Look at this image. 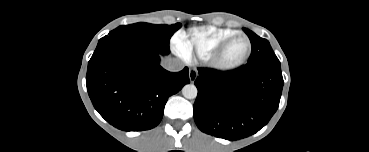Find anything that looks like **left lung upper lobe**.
<instances>
[{
  "mask_svg": "<svg viewBox=\"0 0 369 152\" xmlns=\"http://www.w3.org/2000/svg\"><path fill=\"white\" fill-rule=\"evenodd\" d=\"M243 30L248 35L252 46V52L246 65L280 64V61L266 39L257 36L249 29L243 28Z\"/></svg>",
  "mask_w": 369,
  "mask_h": 152,
  "instance_id": "5c2ea615",
  "label": "left lung upper lobe"
}]
</instances>
